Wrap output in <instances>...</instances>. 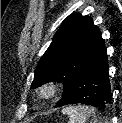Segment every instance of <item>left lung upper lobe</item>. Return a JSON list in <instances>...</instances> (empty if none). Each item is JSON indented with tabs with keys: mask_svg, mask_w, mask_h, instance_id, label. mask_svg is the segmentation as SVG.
Instances as JSON below:
<instances>
[{
	"mask_svg": "<svg viewBox=\"0 0 122 123\" xmlns=\"http://www.w3.org/2000/svg\"><path fill=\"white\" fill-rule=\"evenodd\" d=\"M104 46L101 32L92 18L78 13L68 16L41 57L31 88L59 81L66 92L78 72Z\"/></svg>",
	"mask_w": 122,
	"mask_h": 123,
	"instance_id": "1",
	"label": "left lung upper lobe"
}]
</instances>
